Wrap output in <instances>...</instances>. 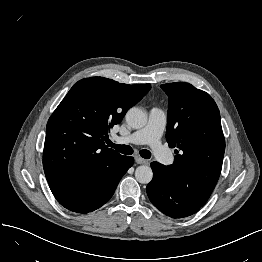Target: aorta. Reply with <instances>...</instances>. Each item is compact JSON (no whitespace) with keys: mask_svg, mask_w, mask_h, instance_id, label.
<instances>
[{"mask_svg":"<svg viewBox=\"0 0 262 262\" xmlns=\"http://www.w3.org/2000/svg\"><path fill=\"white\" fill-rule=\"evenodd\" d=\"M126 122L134 129H140L147 123L146 113L137 107H132L126 113ZM135 178L141 184H148L153 178V172L151 167L142 165L136 168Z\"/></svg>","mask_w":262,"mask_h":262,"instance_id":"aorta-1","label":"aorta"}]
</instances>
